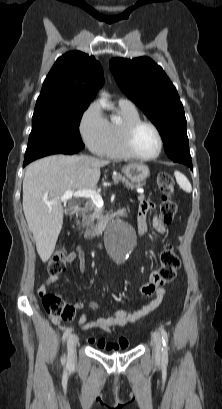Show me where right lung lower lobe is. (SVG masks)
I'll return each instance as SVG.
<instances>
[{
  "instance_id": "98d812e1",
  "label": "right lung lower lobe",
  "mask_w": 222,
  "mask_h": 409,
  "mask_svg": "<svg viewBox=\"0 0 222 409\" xmlns=\"http://www.w3.org/2000/svg\"><path fill=\"white\" fill-rule=\"evenodd\" d=\"M79 150H81V149H77V152H78ZM77 152H76V153H77ZM27 164H28L27 162H24V163H23V166H26Z\"/></svg>"
}]
</instances>
